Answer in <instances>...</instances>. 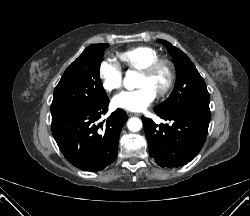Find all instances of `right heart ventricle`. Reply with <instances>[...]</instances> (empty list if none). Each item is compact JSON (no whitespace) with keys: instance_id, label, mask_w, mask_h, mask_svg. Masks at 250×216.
I'll return each mask as SVG.
<instances>
[{"instance_id":"obj_1","label":"right heart ventricle","mask_w":250,"mask_h":216,"mask_svg":"<svg viewBox=\"0 0 250 216\" xmlns=\"http://www.w3.org/2000/svg\"><path fill=\"white\" fill-rule=\"evenodd\" d=\"M132 57L137 64H144L153 57V54L148 49H138L132 53Z\"/></svg>"}]
</instances>
